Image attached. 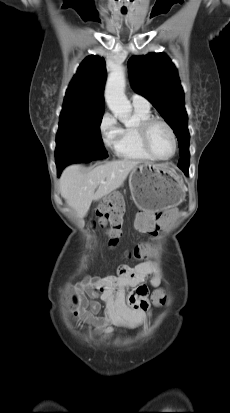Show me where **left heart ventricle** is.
Here are the masks:
<instances>
[{"label": "left heart ventricle", "mask_w": 230, "mask_h": 413, "mask_svg": "<svg viewBox=\"0 0 230 413\" xmlns=\"http://www.w3.org/2000/svg\"><path fill=\"white\" fill-rule=\"evenodd\" d=\"M149 144L153 152L160 157H168L173 151V142L168 129L156 123L149 131Z\"/></svg>", "instance_id": "1"}]
</instances>
